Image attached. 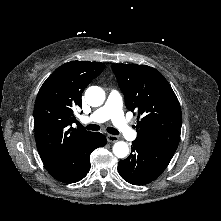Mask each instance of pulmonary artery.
Instances as JSON below:
<instances>
[{
  "label": "pulmonary artery",
  "instance_id": "pulmonary-artery-1",
  "mask_svg": "<svg viewBox=\"0 0 221 221\" xmlns=\"http://www.w3.org/2000/svg\"><path fill=\"white\" fill-rule=\"evenodd\" d=\"M122 100L118 91L111 90L106 103L95 110L90 116L84 117V122L101 123L111 119L116 129L128 140H134L136 132L130 127L122 112Z\"/></svg>",
  "mask_w": 221,
  "mask_h": 221
}]
</instances>
